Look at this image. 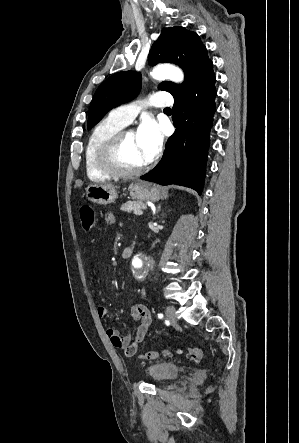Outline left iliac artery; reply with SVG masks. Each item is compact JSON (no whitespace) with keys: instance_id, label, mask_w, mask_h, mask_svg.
Returning a JSON list of instances; mask_svg holds the SVG:
<instances>
[{"instance_id":"44dca946","label":"left iliac artery","mask_w":299,"mask_h":443,"mask_svg":"<svg viewBox=\"0 0 299 443\" xmlns=\"http://www.w3.org/2000/svg\"><path fill=\"white\" fill-rule=\"evenodd\" d=\"M158 318L162 319L163 318V314L162 313L158 314Z\"/></svg>"}]
</instances>
